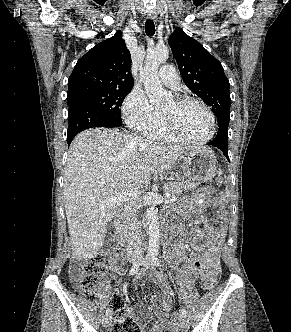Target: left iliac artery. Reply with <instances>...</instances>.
Masks as SVG:
<instances>
[{"mask_svg":"<svg viewBox=\"0 0 291 332\" xmlns=\"http://www.w3.org/2000/svg\"><path fill=\"white\" fill-rule=\"evenodd\" d=\"M151 259L153 261V263L156 265V266H161V261L158 259L157 255L156 254H153L151 256ZM181 315L186 317L187 313H186V310L184 309V307H181Z\"/></svg>","mask_w":291,"mask_h":332,"instance_id":"left-iliac-artery-1","label":"left iliac artery"}]
</instances>
